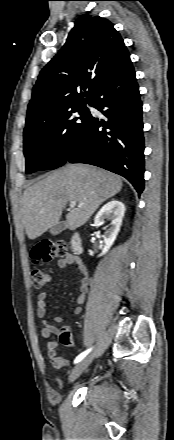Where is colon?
I'll use <instances>...</instances> for the list:
<instances>
[{"instance_id":"obj_1","label":"colon","mask_w":174,"mask_h":440,"mask_svg":"<svg viewBox=\"0 0 174 440\" xmlns=\"http://www.w3.org/2000/svg\"><path fill=\"white\" fill-rule=\"evenodd\" d=\"M69 253V249L62 242H44L31 250V258L35 262H48L56 257H65ZM32 283L35 288L46 286L50 280L47 272L41 269H33L31 272Z\"/></svg>"}]
</instances>
